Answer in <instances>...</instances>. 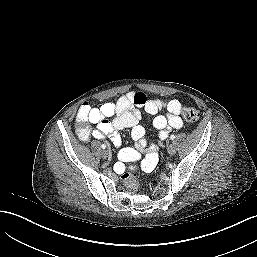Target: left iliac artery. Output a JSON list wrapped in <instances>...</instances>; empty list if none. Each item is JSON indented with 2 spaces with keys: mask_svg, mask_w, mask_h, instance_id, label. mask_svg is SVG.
<instances>
[{
  "mask_svg": "<svg viewBox=\"0 0 257 257\" xmlns=\"http://www.w3.org/2000/svg\"><path fill=\"white\" fill-rule=\"evenodd\" d=\"M175 137H176V136L173 134V135L170 136V139H171V140H174Z\"/></svg>",
  "mask_w": 257,
  "mask_h": 257,
  "instance_id": "obj_1",
  "label": "left iliac artery"
}]
</instances>
